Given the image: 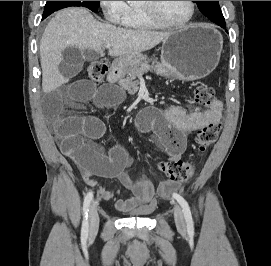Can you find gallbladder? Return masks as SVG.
Returning a JSON list of instances; mask_svg holds the SVG:
<instances>
[{"instance_id": "bac80fb5", "label": "gallbladder", "mask_w": 271, "mask_h": 266, "mask_svg": "<svg viewBox=\"0 0 271 266\" xmlns=\"http://www.w3.org/2000/svg\"><path fill=\"white\" fill-rule=\"evenodd\" d=\"M91 50H85L83 53L74 46L67 47L63 52V59L59 64V71L65 78H73L78 75L82 69L85 60H92L97 56Z\"/></svg>"}]
</instances>
